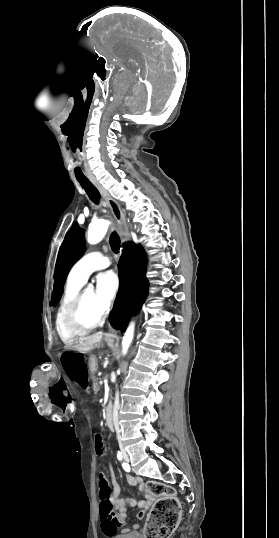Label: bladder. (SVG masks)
Masks as SVG:
<instances>
[{
	"label": "bladder",
	"instance_id": "1",
	"mask_svg": "<svg viewBox=\"0 0 279 538\" xmlns=\"http://www.w3.org/2000/svg\"><path fill=\"white\" fill-rule=\"evenodd\" d=\"M116 538H139L138 532H117Z\"/></svg>",
	"mask_w": 279,
	"mask_h": 538
}]
</instances>
